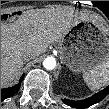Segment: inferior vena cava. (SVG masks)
Wrapping results in <instances>:
<instances>
[{"label": "inferior vena cava", "mask_w": 109, "mask_h": 109, "mask_svg": "<svg viewBox=\"0 0 109 109\" xmlns=\"http://www.w3.org/2000/svg\"><path fill=\"white\" fill-rule=\"evenodd\" d=\"M33 58H34V55L31 54V53H24V54L22 55L23 61H29V60H31V59H33Z\"/></svg>", "instance_id": "inferior-vena-cava-1"}]
</instances>
